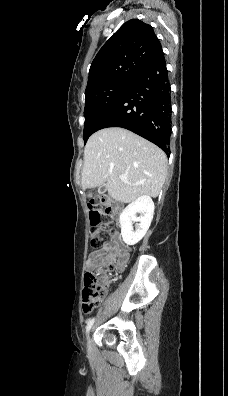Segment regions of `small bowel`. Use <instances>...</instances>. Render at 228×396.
<instances>
[{
    "instance_id": "1",
    "label": "small bowel",
    "mask_w": 228,
    "mask_h": 396,
    "mask_svg": "<svg viewBox=\"0 0 228 396\" xmlns=\"http://www.w3.org/2000/svg\"><path fill=\"white\" fill-rule=\"evenodd\" d=\"M116 250V247L112 244H105L97 250L89 254L86 260V268L91 271L97 267L108 264L111 261L112 254ZM128 259L127 252L121 254V259L118 263V268L122 269Z\"/></svg>"
}]
</instances>
